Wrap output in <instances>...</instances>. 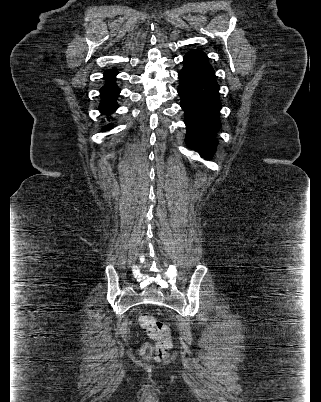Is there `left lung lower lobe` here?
Listing matches in <instances>:
<instances>
[{
	"label": "left lung lower lobe",
	"instance_id": "0a47b994",
	"mask_svg": "<svg viewBox=\"0 0 321 402\" xmlns=\"http://www.w3.org/2000/svg\"><path fill=\"white\" fill-rule=\"evenodd\" d=\"M178 94L185 112L186 144L207 158L215 153L216 132L221 127L219 85L207 55L193 49L184 56V67L178 74Z\"/></svg>",
	"mask_w": 321,
	"mask_h": 402
}]
</instances>
